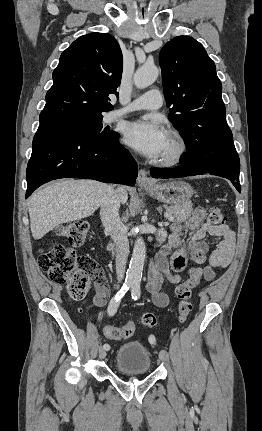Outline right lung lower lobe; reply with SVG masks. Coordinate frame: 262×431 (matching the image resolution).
I'll use <instances>...</instances> for the list:
<instances>
[{"label":"right lung lower lobe","instance_id":"98d812e1","mask_svg":"<svg viewBox=\"0 0 262 431\" xmlns=\"http://www.w3.org/2000/svg\"><path fill=\"white\" fill-rule=\"evenodd\" d=\"M118 139L119 134L101 139L64 126L40 125L27 165L26 198L42 184L59 178L95 179L133 186L137 164Z\"/></svg>","mask_w":262,"mask_h":431}]
</instances>
